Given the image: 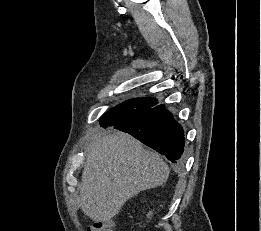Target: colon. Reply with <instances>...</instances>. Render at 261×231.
Instances as JSON below:
<instances>
[{
	"mask_svg": "<svg viewBox=\"0 0 261 231\" xmlns=\"http://www.w3.org/2000/svg\"><path fill=\"white\" fill-rule=\"evenodd\" d=\"M112 220L104 219L94 223L91 231H112Z\"/></svg>",
	"mask_w": 261,
	"mask_h": 231,
	"instance_id": "obj_1",
	"label": "colon"
}]
</instances>
